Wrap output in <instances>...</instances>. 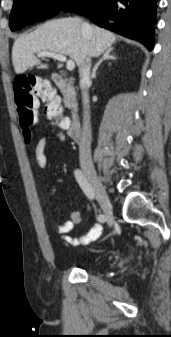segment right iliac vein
Instances as JSON below:
<instances>
[{
	"instance_id": "right-iliac-vein-1",
	"label": "right iliac vein",
	"mask_w": 171,
	"mask_h": 337,
	"mask_svg": "<svg viewBox=\"0 0 171 337\" xmlns=\"http://www.w3.org/2000/svg\"><path fill=\"white\" fill-rule=\"evenodd\" d=\"M83 170L90 180L93 190L96 196V199L98 200L104 214L107 217L108 224L111 226L113 224V210L112 205L110 203L109 197L103 187V185L100 182V179L97 176L96 171L94 168L90 165H84Z\"/></svg>"
}]
</instances>
